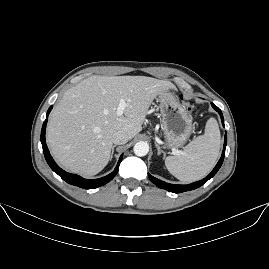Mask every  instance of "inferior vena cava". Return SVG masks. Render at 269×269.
I'll use <instances>...</instances> for the list:
<instances>
[{
    "label": "inferior vena cava",
    "mask_w": 269,
    "mask_h": 269,
    "mask_svg": "<svg viewBox=\"0 0 269 269\" xmlns=\"http://www.w3.org/2000/svg\"><path fill=\"white\" fill-rule=\"evenodd\" d=\"M129 140V136L125 131L119 130L112 135V142L117 145L126 144Z\"/></svg>",
    "instance_id": "602c4592"
}]
</instances>
